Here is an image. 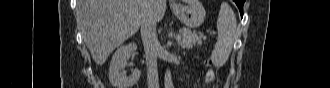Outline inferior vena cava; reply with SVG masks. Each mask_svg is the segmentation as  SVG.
<instances>
[{"mask_svg": "<svg viewBox=\"0 0 330 88\" xmlns=\"http://www.w3.org/2000/svg\"><path fill=\"white\" fill-rule=\"evenodd\" d=\"M141 37L147 64L148 88H159L157 56L160 45L156 33V20L150 13L141 21Z\"/></svg>", "mask_w": 330, "mask_h": 88, "instance_id": "602c4592", "label": "inferior vena cava"}]
</instances>
